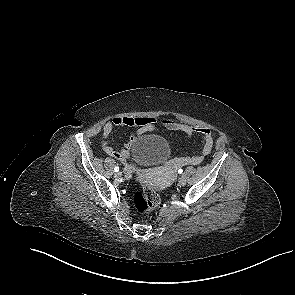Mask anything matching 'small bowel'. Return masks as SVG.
Returning <instances> with one entry per match:
<instances>
[{
	"label": "small bowel",
	"instance_id": "1",
	"mask_svg": "<svg viewBox=\"0 0 295 295\" xmlns=\"http://www.w3.org/2000/svg\"><path fill=\"white\" fill-rule=\"evenodd\" d=\"M161 124L168 130L182 132L187 138H191L194 134H199L202 138V147L198 154L177 158L174 163L179 166L200 164L204 157L210 154L213 148V135L210 129L205 127L192 126L185 123L177 122L173 119L164 118ZM157 120L153 117H114L107 121L102 128V148L104 152L115 158L116 160L127 164L130 158V149L135 139L146 132L153 131L156 128ZM115 127H130L135 131L131 135L122 149H114L108 143V138Z\"/></svg>",
	"mask_w": 295,
	"mask_h": 295
}]
</instances>
